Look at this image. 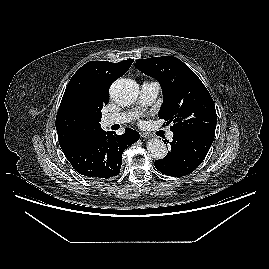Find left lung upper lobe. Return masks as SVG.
Instances as JSON below:
<instances>
[{
  "mask_svg": "<svg viewBox=\"0 0 269 269\" xmlns=\"http://www.w3.org/2000/svg\"><path fill=\"white\" fill-rule=\"evenodd\" d=\"M135 67L155 78L163 91L158 113L176 135L205 133L214 136L217 115L214 102L198 76L173 56L137 60Z\"/></svg>",
  "mask_w": 269,
  "mask_h": 269,
  "instance_id": "left-lung-upper-lobe-1",
  "label": "left lung upper lobe"
}]
</instances>
